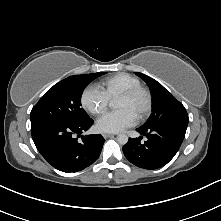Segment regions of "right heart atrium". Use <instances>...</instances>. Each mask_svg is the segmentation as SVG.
Instances as JSON below:
<instances>
[{"instance_id": "d8ad5b80", "label": "right heart atrium", "mask_w": 221, "mask_h": 221, "mask_svg": "<svg viewBox=\"0 0 221 221\" xmlns=\"http://www.w3.org/2000/svg\"><path fill=\"white\" fill-rule=\"evenodd\" d=\"M80 102L82 107L93 115L104 113L109 105L108 97L95 86H87L83 89Z\"/></svg>"}]
</instances>
